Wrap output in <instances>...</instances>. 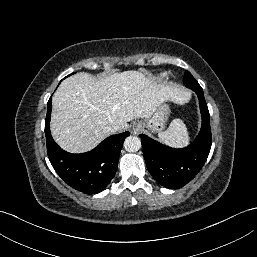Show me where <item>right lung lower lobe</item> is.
<instances>
[{"instance_id": "right-lung-lower-lobe-1", "label": "right lung lower lobe", "mask_w": 257, "mask_h": 257, "mask_svg": "<svg viewBox=\"0 0 257 257\" xmlns=\"http://www.w3.org/2000/svg\"><path fill=\"white\" fill-rule=\"evenodd\" d=\"M52 102L47 103L45 135L47 154L57 174L72 188L87 194L104 190L114 177L123 142L129 132L112 135L93 150L71 154L62 150L50 133Z\"/></svg>"}]
</instances>
